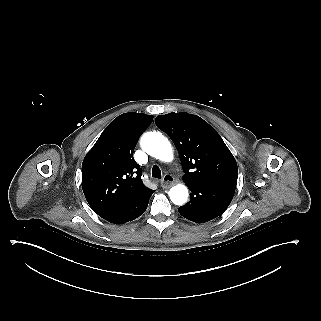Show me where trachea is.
Returning a JSON list of instances; mask_svg holds the SVG:
<instances>
[{"label":"trachea","mask_w":321,"mask_h":321,"mask_svg":"<svg viewBox=\"0 0 321 321\" xmlns=\"http://www.w3.org/2000/svg\"><path fill=\"white\" fill-rule=\"evenodd\" d=\"M152 177L161 179V170L157 165L152 168Z\"/></svg>","instance_id":"trachea-1"}]
</instances>
